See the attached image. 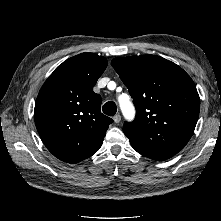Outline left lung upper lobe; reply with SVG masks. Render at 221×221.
<instances>
[{
    "instance_id": "left-lung-upper-lobe-1",
    "label": "left lung upper lobe",
    "mask_w": 221,
    "mask_h": 221,
    "mask_svg": "<svg viewBox=\"0 0 221 221\" xmlns=\"http://www.w3.org/2000/svg\"><path fill=\"white\" fill-rule=\"evenodd\" d=\"M111 65L133 98L136 117L123 132L138 153L154 160L177 154L193 135L200 99L190 76L159 56L118 57Z\"/></svg>"
}]
</instances>
